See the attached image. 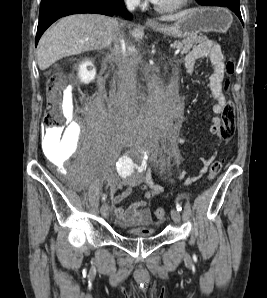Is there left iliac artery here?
I'll list each match as a JSON object with an SVG mask.
<instances>
[{"label":"left iliac artery","instance_id":"left-iliac-artery-1","mask_svg":"<svg viewBox=\"0 0 267 298\" xmlns=\"http://www.w3.org/2000/svg\"><path fill=\"white\" fill-rule=\"evenodd\" d=\"M176 209H177L179 212H181V210H182V207H181V205H180L178 202H176Z\"/></svg>","mask_w":267,"mask_h":298}]
</instances>
